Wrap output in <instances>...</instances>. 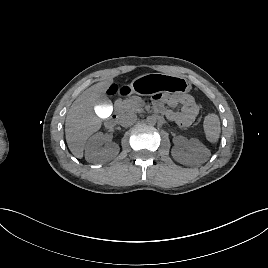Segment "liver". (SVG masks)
<instances>
[{"label":"liver","instance_id":"6515ba94","mask_svg":"<svg viewBox=\"0 0 268 268\" xmlns=\"http://www.w3.org/2000/svg\"><path fill=\"white\" fill-rule=\"evenodd\" d=\"M112 83L113 77H109L92 85L76 98L67 113L66 141L71 153L77 158L83 157L87 139L101 128L102 120L95 114V108Z\"/></svg>","mask_w":268,"mask_h":268}]
</instances>
